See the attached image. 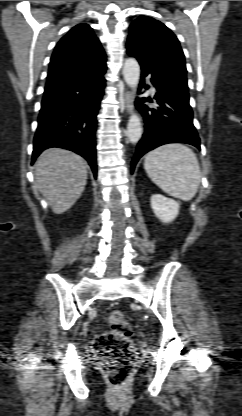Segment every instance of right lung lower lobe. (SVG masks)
Masks as SVG:
<instances>
[{"label":"right lung lower lobe","instance_id":"right-lung-lower-lobe-1","mask_svg":"<svg viewBox=\"0 0 242 416\" xmlns=\"http://www.w3.org/2000/svg\"><path fill=\"white\" fill-rule=\"evenodd\" d=\"M106 71L77 82L45 88L32 163L50 147L65 148L83 156L97 177L95 131L104 94Z\"/></svg>","mask_w":242,"mask_h":416}]
</instances>
